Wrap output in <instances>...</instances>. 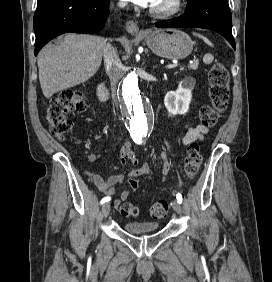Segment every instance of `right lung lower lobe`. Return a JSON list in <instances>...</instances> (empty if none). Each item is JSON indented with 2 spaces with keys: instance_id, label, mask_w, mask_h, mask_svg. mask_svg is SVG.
Returning <instances> with one entry per match:
<instances>
[{
  "instance_id": "obj_1",
  "label": "right lung lower lobe",
  "mask_w": 272,
  "mask_h": 282,
  "mask_svg": "<svg viewBox=\"0 0 272 282\" xmlns=\"http://www.w3.org/2000/svg\"><path fill=\"white\" fill-rule=\"evenodd\" d=\"M108 15L109 0H38L34 54L63 33L92 34L101 30Z\"/></svg>"
}]
</instances>
